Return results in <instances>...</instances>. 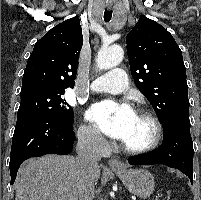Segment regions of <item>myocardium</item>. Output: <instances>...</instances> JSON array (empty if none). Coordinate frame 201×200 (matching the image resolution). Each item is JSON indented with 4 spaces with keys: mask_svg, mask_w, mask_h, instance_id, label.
I'll return each mask as SVG.
<instances>
[{
    "mask_svg": "<svg viewBox=\"0 0 201 200\" xmlns=\"http://www.w3.org/2000/svg\"><path fill=\"white\" fill-rule=\"evenodd\" d=\"M136 114L147 118L153 125L154 135L152 140L141 147H130L121 142V148L123 151L129 154H143L154 150L161 142L163 136V126L159 118L151 110L146 108H138Z\"/></svg>",
    "mask_w": 201,
    "mask_h": 200,
    "instance_id": "myocardium-1",
    "label": "myocardium"
}]
</instances>
